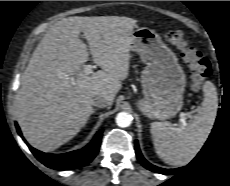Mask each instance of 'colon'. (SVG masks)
<instances>
[{
  "label": "colon",
  "instance_id": "1",
  "mask_svg": "<svg viewBox=\"0 0 230 186\" xmlns=\"http://www.w3.org/2000/svg\"><path fill=\"white\" fill-rule=\"evenodd\" d=\"M163 38L180 50L182 59L191 71L192 86L199 89L210 76L209 61L191 46L181 31L167 30L163 33Z\"/></svg>",
  "mask_w": 230,
  "mask_h": 186
}]
</instances>
